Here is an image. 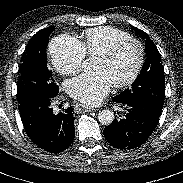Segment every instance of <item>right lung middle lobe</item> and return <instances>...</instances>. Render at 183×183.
<instances>
[{
	"label": "right lung middle lobe",
	"instance_id": "obj_1",
	"mask_svg": "<svg viewBox=\"0 0 183 183\" xmlns=\"http://www.w3.org/2000/svg\"><path fill=\"white\" fill-rule=\"evenodd\" d=\"M54 28L51 26L38 31L26 46L18 70L17 99L19 104L34 95L54 97L59 92L52 78V72L47 67L46 56L49 34Z\"/></svg>",
	"mask_w": 183,
	"mask_h": 183
}]
</instances>
